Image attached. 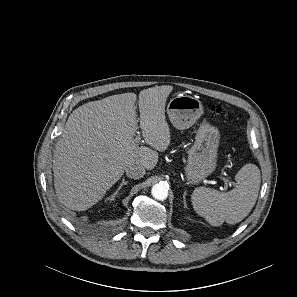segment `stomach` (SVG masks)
Here are the masks:
<instances>
[{
	"instance_id": "1",
	"label": "stomach",
	"mask_w": 297,
	"mask_h": 297,
	"mask_svg": "<svg viewBox=\"0 0 297 297\" xmlns=\"http://www.w3.org/2000/svg\"><path fill=\"white\" fill-rule=\"evenodd\" d=\"M167 114L177 129L190 128L203 114L201 101L189 95H177L167 105ZM220 133L204 121L196 131L195 142L188 150L185 174L189 182L197 184L213 173L217 161Z\"/></svg>"
}]
</instances>
